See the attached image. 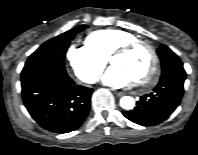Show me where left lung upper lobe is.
<instances>
[{"label":"left lung upper lobe","mask_w":198,"mask_h":155,"mask_svg":"<svg viewBox=\"0 0 198 155\" xmlns=\"http://www.w3.org/2000/svg\"><path fill=\"white\" fill-rule=\"evenodd\" d=\"M157 53L161 60V77H164L174 72L185 71L183 68V63L181 62L179 57L173 51H171L166 45H161L160 48L157 50ZM141 115L145 119L150 117L148 112H143L141 113Z\"/></svg>","instance_id":"left-lung-upper-lobe-1"}]
</instances>
